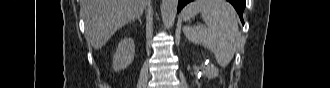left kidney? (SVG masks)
Masks as SVG:
<instances>
[{"instance_id": "obj_1", "label": "left kidney", "mask_w": 330, "mask_h": 88, "mask_svg": "<svg viewBox=\"0 0 330 88\" xmlns=\"http://www.w3.org/2000/svg\"><path fill=\"white\" fill-rule=\"evenodd\" d=\"M218 74V69L214 66L211 65L210 67V71L207 73V77L208 78H213Z\"/></svg>"}]
</instances>
